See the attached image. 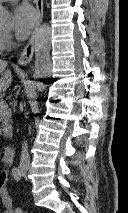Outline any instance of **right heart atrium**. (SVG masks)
I'll list each match as a JSON object with an SVG mask.
<instances>
[{
  "label": "right heart atrium",
  "instance_id": "d8ad5b80",
  "mask_svg": "<svg viewBox=\"0 0 128 213\" xmlns=\"http://www.w3.org/2000/svg\"><path fill=\"white\" fill-rule=\"evenodd\" d=\"M11 45V36L8 33L0 32V52Z\"/></svg>",
  "mask_w": 128,
  "mask_h": 213
}]
</instances>
